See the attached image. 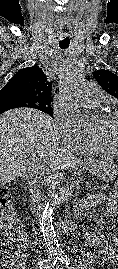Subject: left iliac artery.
Wrapping results in <instances>:
<instances>
[{
	"mask_svg": "<svg viewBox=\"0 0 118 269\" xmlns=\"http://www.w3.org/2000/svg\"><path fill=\"white\" fill-rule=\"evenodd\" d=\"M58 257L61 263H63L66 267H69V259L64 253H60Z\"/></svg>",
	"mask_w": 118,
	"mask_h": 269,
	"instance_id": "obj_1",
	"label": "left iliac artery"
}]
</instances>
